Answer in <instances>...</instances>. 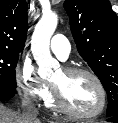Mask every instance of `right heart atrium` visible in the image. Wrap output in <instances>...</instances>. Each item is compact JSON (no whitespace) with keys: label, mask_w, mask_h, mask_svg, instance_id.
I'll return each instance as SVG.
<instances>
[{"label":"right heart atrium","mask_w":118,"mask_h":123,"mask_svg":"<svg viewBox=\"0 0 118 123\" xmlns=\"http://www.w3.org/2000/svg\"><path fill=\"white\" fill-rule=\"evenodd\" d=\"M17 89L23 99L34 103L49 95L48 84L40 78L30 61H22L15 74Z\"/></svg>","instance_id":"right-heart-atrium-1"}]
</instances>
